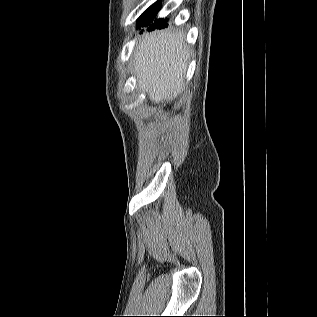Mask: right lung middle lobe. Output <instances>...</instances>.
<instances>
[{"label": "right lung middle lobe", "instance_id": "obj_1", "mask_svg": "<svg viewBox=\"0 0 317 317\" xmlns=\"http://www.w3.org/2000/svg\"><path fill=\"white\" fill-rule=\"evenodd\" d=\"M158 13V8L156 5H152L149 7L142 16L138 19V27L149 26L150 28H163L166 27L168 24L164 19H155ZM154 22V23H153Z\"/></svg>", "mask_w": 317, "mask_h": 317}]
</instances>
